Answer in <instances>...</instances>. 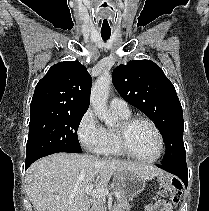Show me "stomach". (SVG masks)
<instances>
[{
	"label": "stomach",
	"mask_w": 209,
	"mask_h": 211,
	"mask_svg": "<svg viewBox=\"0 0 209 211\" xmlns=\"http://www.w3.org/2000/svg\"><path fill=\"white\" fill-rule=\"evenodd\" d=\"M119 185L129 199L138 196L145 188L144 180L130 173H124L119 177Z\"/></svg>",
	"instance_id": "obj_1"
}]
</instances>
